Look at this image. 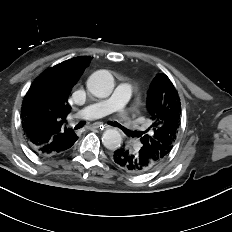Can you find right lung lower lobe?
<instances>
[{
    "instance_id": "98d812e1",
    "label": "right lung lower lobe",
    "mask_w": 232,
    "mask_h": 232,
    "mask_svg": "<svg viewBox=\"0 0 232 232\" xmlns=\"http://www.w3.org/2000/svg\"><path fill=\"white\" fill-rule=\"evenodd\" d=\"M78 137L76 134L69 137H57L55 136L52 141L43 145H37L34 141H29L30 148L38 155L41 156H55L58 154H63L68 151L74 143L77 141Z\"/></svg>"
}]
</instances>
